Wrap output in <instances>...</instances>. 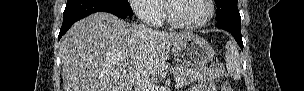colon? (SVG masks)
<instances>
[{
  "label": "colon",
  "instance_id": "obj_1",
  "mask_svg": "<svg viewBox=\"0 0 304 91\" xmlns=\"http://www.w3.org/2000/svg\"><path fill=\"white\" fill-rule=\"evenodd\" d=\"M221 90H222V91H233L232 87H231L230 84L227 83V82H224V83L222 84Z\"/></svg>",
  "mask_w": 304,
  "mask_h": 91
}]
</instances>
